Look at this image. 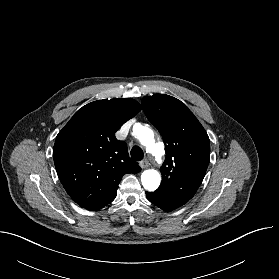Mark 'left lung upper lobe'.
<instances>
[{
	"label": "left lung upper lobe",
	"mask_w": 279,
	"mask_h": 279,
	"mask_svg": "<svg viewBox=\"0 0 279 279\" xmlns=\"http://www.w3.org/2000/svg\"><path fill=\"white\" fill-rule=\"evenodd\" d=\"M142 106L166 148V159L160 168L162 182L152 193L188 202L201 185L209 164V137L187 106L174 97L147 96Z\"/></svg>",
	"instance_id": "left-lung-upper-lobe-1"
}]
</instances>
